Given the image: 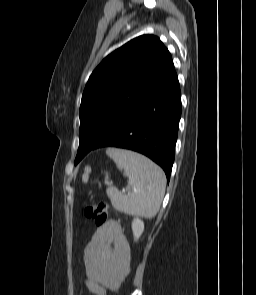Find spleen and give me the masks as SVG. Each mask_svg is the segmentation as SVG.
Returning a JSON list of instances; mask_svg holds the SVG:
<instances>
[{
	"instance_id": "obj_1",
	"label": "spleen",
	"mask_w": 256,
	"mask_h": 295,
	"mask_svg": "<svg viewBox=\"0 0 256 295\" xmlns=\"http://www.w3.org/2000/svg\"><path fill=\"white\" fill-rule=\"evenodd\" d=\"M107 155L114 160L116 166L124 171L132 191L127 195L115 187H108L106 193L112 206L126 214L153 218L158 213L166 188V177L163 170L147 157L117 148H108ZM88 169L83 181L88 180Z\"/></svg>"
}]
</instances>
